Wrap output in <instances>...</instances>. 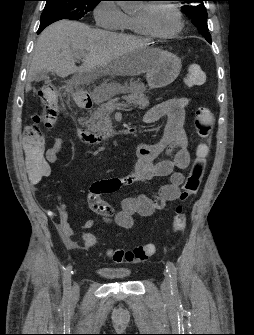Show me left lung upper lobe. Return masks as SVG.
Wrapping results in <instances>:
<instances>
[{"label":"left lung upper lobe","instance_id":"5c2ea615","mask_svg":"<svg viewBox=\"0 0 254 335\" xmlns=\"http://www.w3.org/2000/svg\"><path fill=\"white\" fill-rule=\"evenodd\" d=\"M182 1V11L191 19V22L197 27L199 32L205 37L207 41H211V35L208 32L207 26V12L203 4V0H178ZM194 4V5H192Z\"/></svg>","mask_w":254,"mask_h":335}]
</instances>
